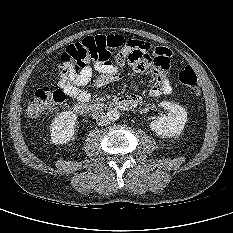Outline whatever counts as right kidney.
<instances>
[{"mask_svg": "<svg viewBox=\"0 0 233 233\" xmlns=\"http://www.w3.org/2000/svg\"><path fill=\"white\" fill-rule=\"evenodd\" d=\"M77 115L72 111H65L55 117L51 127V141L54 144H65L74 136Z\"/></svg>", "mask_w": 233, "mask_h": 233, "instance_id": "obj_1", "label": "right kidney"}]
</instances>
